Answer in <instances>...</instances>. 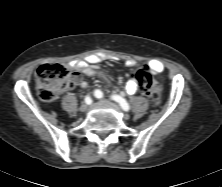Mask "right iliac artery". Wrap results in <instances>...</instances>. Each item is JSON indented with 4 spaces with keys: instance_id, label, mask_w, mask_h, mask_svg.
Returning a JSON list of instances; mask_svg holds the SVG:
<instances>
[{
    "instance_id": "right-iliac-artery-1",
    "label": "right iliac artery",
    "mask_w": 222,
    "mask_h": 187,
    "mask_svg": "<svg viewBox=\"0 0 222 187\" xmlns=\"http://www.w3.org/2000/svg\"><path fill=\"white\" fill-rule=\"evenodd\" d=\"M85 102H86V104L90 105V104L92 103V99L87 96V97L85 98Z\"/></svg>"
}]
</instances>
